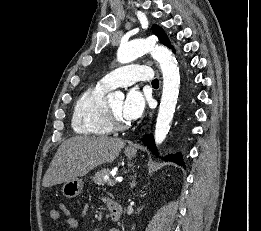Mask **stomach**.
<instances>
[{
	"instance_id": "0dacf381",
	"label": "stomach",
	"mask_w": 261,
	"mask_h": 231,
	"mask_svg": "<svg viewBox=\"0 0 261 231\" xmlns=\"http://www.w3.org/2000/svg\"><path fill=\"white\" fill-rule=\"evenodd\" d=\"M125 155L128 158H134L137 154L136 148L127 147L124 150ZM83 189V180L80 178H74L68 182H65L62 187V193L66 198H74L78 196Z\"/></svg>"
}]
</instances>
